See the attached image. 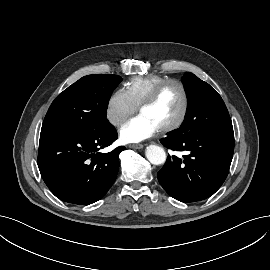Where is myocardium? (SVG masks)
I'll return each mask as SVG.
<instances>
[{
    "instance_id": "f54148a6",
    "label": "myocardium",
    "mask_w": 270,
    "mask_h": 270,
    "mask_svg": "<svg viewBox=\"0 0 270 270\" xmlns=\"http://www.w3.org/2000/svg\"><path fill=\"white\" fill-rule=\"evenodd\" d=\"M168 85H177L179 87L182 94L183 103H182L181 114L178 117V119L172 124L162 127L158 130L160 133H163V134L178 130L186 121V118L189 112V95H188L185 85L181 81L176 80V79H168L166 81H163L153 88L150 94L139 106V112L151 106L157 100L162 90Z\"/></svg>"
}]
</instances>
